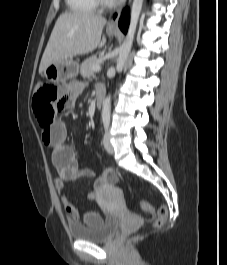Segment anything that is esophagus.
<instances>
[{"instance_id": "esophagus-1", "label": "esophagus", "mask_w": 227, "mask_h": 265, "mask_svg": "<svg viewBox=\"0 0 227 265\" xmlns=\"http://www.w3.org/2000/svg\"><path fill=\"white\" fill-rule=\"evenodd\" d=\"M122 9H123V7H120L111 13L108 24H107V28H109V29H117L118 28V20L120 18Z\"/></svg>"}]
</instances>
